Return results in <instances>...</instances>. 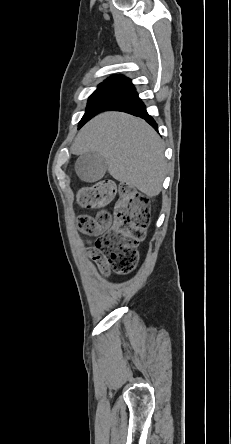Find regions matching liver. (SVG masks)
I'll use <instances>...</instances> for the list:
<instances>
[{
    "label": "liver",
    "mask_w": 231,
    "mask_h": 444,
    "mask_svg": "<svg viewBox=\"0 0 231 444\" xmlns=\"http://www.w3.org/2000/svg\"><path fill=\"white\" fill-rule=\"evenodd\" d=\"M71 152L99 153L115 180L148 197L162 190L166 174L164 147L155 130L140 118L122 112L101 113L80 130Z\"/></svg>",
    "instance_id": "obj_1"
}]
</instances>
